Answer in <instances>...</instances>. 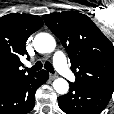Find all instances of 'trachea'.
<instances>
[{"instance_id":"obj_1","label":"trachea","mask_w":114,"mask_h":114,"mask_svg":"<svg viewBox=\"0 0 114 114\" xmlns=\"http://www.w3.org/2000/svg\"><path fill=\"white\" fill-rule=\"evenodd\" d=\"M42 67H43V64H42L40 61H37L34 66H32L31 68H26V70H27L28 72H36V71L41 70ZM44 68H45L47 71H49L50 73H54V68H53V66H52L51 63L45 62Z\"/></svg>"}]
</instances>
